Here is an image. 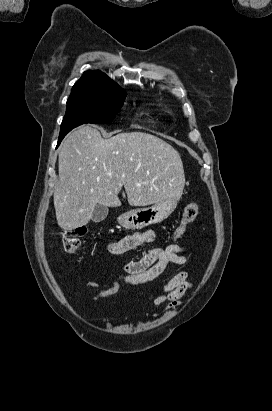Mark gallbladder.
Segmentation results:
<instances>
[{
  "mask_svg": "<svg viewBox=\"0 0 272 411\" xmlns=\"http://www.w3.org/2000/svg\"><path fill=\"white\" fill-rule=\"evenodd\" d=\"M108 208L102 204H97L94 208L92 221L95 223L102 222L108 215Z\"/></svg>",
  "mask_w": 272,
  "mask_h": 411,
  "instance_id": "obj_1",
  "label": "gallbladder"
}]
</instances>
